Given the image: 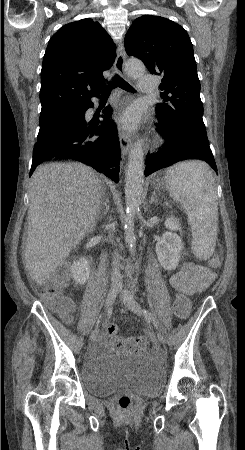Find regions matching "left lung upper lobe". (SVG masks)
<instances>
[{"label":"left lung upper lobe","mask_w":245,"mask_h":450,"mask_svg":"<svg viewBox=\"0 0 245 450\" xmlns=\"http://www.w3.org/2000/svg\"><path fill=\"white\" fill-rule=\"evenodd\" d=\"M124 43L129 56L163 77L164 103L156 106L163 124L174 134L208 141L193 46L185 29L166 18L144 15L133 21Z\"/></svg>","instance_id":"obj_1"}]
</instances>
